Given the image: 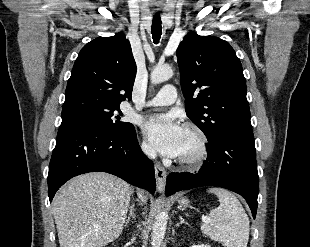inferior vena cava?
Listing matches in <instances>:
<instances>
[{
  "label": "inferior vena cava",
  "instance_id": "602c4592",
  "mask_svg": "<svg viewBox=\"0 0 310 247\" xmlns=\"http://www.w3.org/2000/svg\"><path fill=\"white\" fill-rule=\"evenodd\" d=\"M142 149L144 151V153L150 157V158H155L156 157V152L153 148H151L150 146L148 145H144L142 146Z\"/></svg>",
  "mask_w": 310,
  "mask_h": 247
}]
</instances>
